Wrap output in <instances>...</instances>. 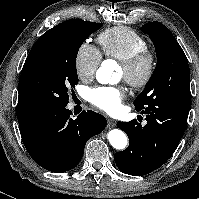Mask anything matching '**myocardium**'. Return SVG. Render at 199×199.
I'll return each mask as SVG.
<instances>
[{"label": "myocardium", "instance_id": "f54148a6", "mask_svg": "<svg viewBox=\"0 0 199 199\" xmlns=\"http://www.w3.org/2000/svg\"><path fill=\"white\" fill-rule=\"evenodd\" d=\"M124 69L125 80L135 88H143L149 84L156 68V59L153 52L143 49L120 61Z\"/></svg>", "mask_w": 199, "mask_h": 199}]
</instances>
